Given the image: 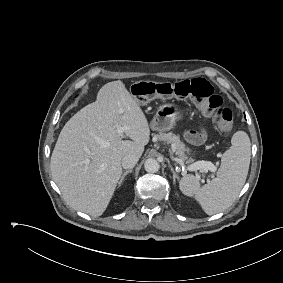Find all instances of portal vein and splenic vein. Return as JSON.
I'll list each match as a JSON object with an SVG mask.
<instances>
[{"instance_id": "18ae733b", "label": "portal vein and splenic vein", "mask_w": 283, "mask_h": 283, "mask_svg": "<svg viewBox=\"0 0 283 283\" xmlns=\"http://www.w3.org/2000/svg\"><path fill=\"white\" fill-rule=\"evenodd\" d=\"M126 128H121L120 132H122V130H124ZM202 169L204 172H207L208 170L214 172L216 171V167L214 166V164H212L211 162L208 161H198L195 162L194 164L189 166V170L191 171H197Z\"/></svg>"}]
</instances>
